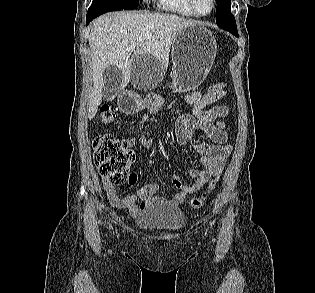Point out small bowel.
Wrapping results in <instances>:
<instances>
[{
    "instance_id": "1",
    "label": "small bowel",
    "mask_w": 315,
    "mask_h": 293,
    "mask_svg": "<svg viewBox=\"0 0 315 293\" xmlns=\"http://www.w3.org/2000/svg\"><path fill=\"white\" fill-rule=\"evenodd\" d=\"M225 94V90L221 94L191 92L186 95L185 100L193 106L192 114H180L174 120L177 142L182 146H190L200 156L202 169L189 170L190 176L195 179L193 184H184L178 176H175L172 183L177 192L173 197L167 199L156 195L159 185L154 181L141 187L137 194L125 196H120L114 185L104 183L110 203L115 207L127 209L133 216L156 203L176 206L181 204L188 195L200 190L210 178L218 175L223 170L226 159L232 150L231 145L228 144L229 135L224 121L228 117L230 109L225 105L206 107L218 102ZM198 129L211 142L196 141L194 134ZM137 141L144 149H150L153 145L152 139L141 136L138 139L129 138L128 146H134Z\"/></svg>"
}]
</instances>
